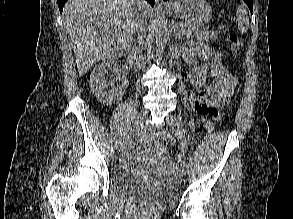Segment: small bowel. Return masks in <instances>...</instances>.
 <instances>
[{
    "label": "small bowel",
    "mask_w": 293,
    "mask_h": 219,
    "mask_svg": "<svg viewBox=\"0 0 293 219\" xmlns=\"http://www.w3.org/2000/svg\"><path fill=\"white\" fill-rule=\"evenodd\" d=\"M194 49L202 60L208 61L210 52L206 45L195 44ZM210 70L213 78L212 82L208 86L191 93L188 97L191 107L202 115L206 122H213L219 119L218 108L225 106L229 102L236 87L235 78L222 63L218 61L210 63ZM186 77L187 73H181V78ZM202 106L208 108V113H201L199 111V108ZM205 117L209 119L207 120ZM149 140H151L150 137L145 142ZM138 146L139 144H135L136 148Z\"/></svg>",
    "instance_id": "c3829d8e"
}]
</instances>
